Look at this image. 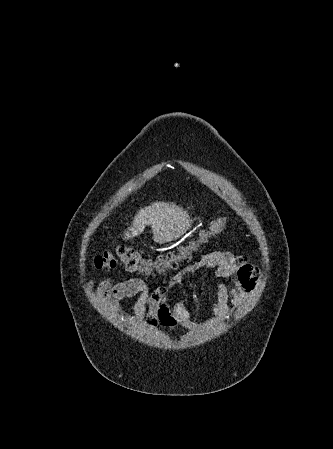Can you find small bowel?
<instances>
[{
	"label": "small bowel",
	"instance_id": "c3829d8e",
	"mask_svg": "<svg viewBox=\"0 0 333 449\" xmlns=\"http://www.w3.org/2000/svg\"><path fill=\"white\" fill-rule=\"evenodd\" d=\"M213 269L216 278V297L212 303L214 315L224 318L229 313L228 302L233 300L236 306L243 305L248 295L256 289L259 270L246 257L229 252L216 251L203 255L200 260L188 265L175 274L168 285L157 287L150 292L146 283L138 278L114 283L106 278L96 287L98 296L115 313H120V300L137 297L133 306L136 320L148 326L160 325L170 330L179 328L189 330L194 326L184 302H168V293L172 288L183 285L187 274L202 269ZM94 286V282H91Z\"/></svg>",
	"mask_w": 333,
	"mask_h": 449
}]
</instances>
